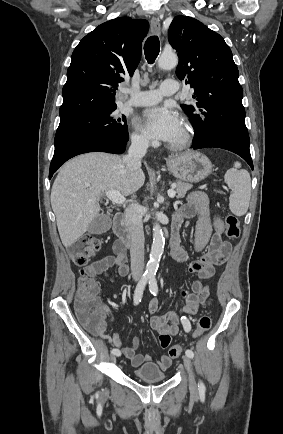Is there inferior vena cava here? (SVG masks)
I'll return each mask as SVG.
<instances>
[{
    "mask_svg": "<svg viewBox=\"0 0 283 434\" xmlns=\"http://www.w3.org/2000/svg\"><path fill=\"white\" fill-rule=\"evenodd\" d=\"M149 142L142 137L133 138L128 154L123 157V162L130 171L141 167V159L146 154ZM135 197V196H134ZM125 223L131 236V273L134 280H139L144 269V232L141 207L137 203H131L124 212Z\"/></svg>",
    "mask_w": 283,
    "mask_h": 434,
    "instance_id": "obj_1",
    "label": "inferior vena cava"
}]
</instances>
